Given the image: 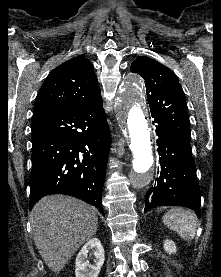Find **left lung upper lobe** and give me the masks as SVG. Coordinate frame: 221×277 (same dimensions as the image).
I'll return each instance as SVG.
<instances>
[{
	"label": "left lung upper lobe",
	"instance_id": "left-lung-upper-lobe-1",
	"mask_svg": "<svg viewBox=\"0 0 221 277\" xmlns=\"http://www.w3.org/2000/svg\"><path fill=\"white\" fill-rule=\"evenodd\" d=\"M131 71L142 76L145 81L152 117L190 143L188 108L176 74L161 63L144 56L131 64Z\"/></svg>",
	"mask_w": 221,
	"mask_h": 277
}]
</instances>
